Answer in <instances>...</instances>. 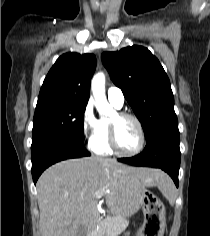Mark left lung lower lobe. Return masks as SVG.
Listing matches in <instances>:
<instances>
[{"mask_svg": "<svg viewBox=\"0 0 210 236\" xmlns=\"http://www.w3.org/2000/svg\"><path fill=\"white\" fill-rule=\"evenodd\" d=\"M180 148L178 126L168 127L156 132L142 153L132 158H121L120 162L134 166L160 168L167 172L178 186L180 168Z\"/></svg>", "mask_w": 210, "mask_h": 236, "instance_id": "obj_1", "label": "left lung lower lobe"}]
</instances>
